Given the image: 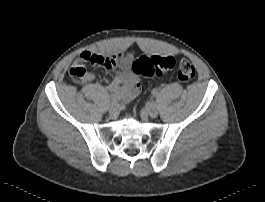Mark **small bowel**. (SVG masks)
I'll list each match as a JSON object with an SVG mask.
<instances>
[{"mask_svg": "<svg viewBox=\"0 0 265 202\" xmlns=\"http://www.w3.org/2000/svg\"><path fill=\"white\" fill-rule=\"evenodd\" d=\"M104 67L115 73L111 83L107 85V90L112 94L121 97L123 102L134 99L141 90L139 78L131 72L132 58L126 52H119L114 55H104L93 51L82 52L75 61V65ZM95 79L93 73L87 72L84 80L92 82Z\"/></svg>", "mask_w": 265, "mask_h": 202, "instance_id": "small-bowel-1", "label": "small bowel"}]
</instances>
